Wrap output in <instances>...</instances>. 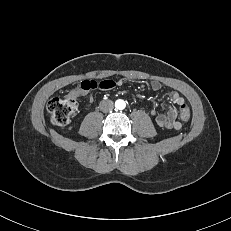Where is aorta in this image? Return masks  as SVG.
Instances as JSON below:
<instances>
[{
	"mask_svg": "<svg viewBox=\"0 0 231 231\" xmlns=\"http://www.w3.org/2000/svg\"><path fill=\"white\" fill-rule=\"evenodd\" d=\"M125 102L123 101V100H121V99H119V100H117L116 102H115V107L117 108V109H119V110H122V109H124L125 108Z\"/></svg>",
	"mask_w": 231,
	"mask_h": 231,
	"instance_id": "1",
	"label": "aorta"
}]
</instances>
